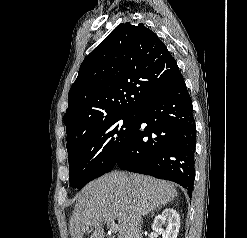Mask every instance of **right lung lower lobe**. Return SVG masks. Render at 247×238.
I'll use <instances>...</instances> for the list:
<instances>
[{"mask_svg":"<svg viewBox=\"0 0 247 238\" xmlns=\"http://www.w3.org/2000/svg\"><path fill=\"white\" fill-rule=\"evenodd\" d=\"M193 107L182 74L136 112L133 132L116 165L178 183L192 193L195 168Z\"/></svg>","mask_w":247,"mask_h":238,"instance_id":"right-lung-lower-lobe-1","label":"right lung lower lobe"}]
</instances>
